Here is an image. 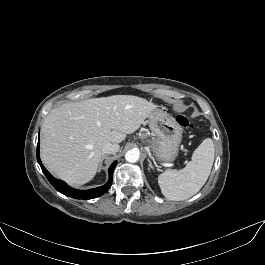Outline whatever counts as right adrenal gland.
I'll return each mask as SVG.
<instances>
[{
	"label": "right adrenal gland",
	"instance_id": "obj_1",
	"mask_svg": "<svg viewBox=\"0 0 265 265\" xmlns=\"http://www.w3.org/2000/svg\"><path fill=\"white\" fill-rule=\"evenodd\" d=\"M106 158V155H103L102 157H101V160H100V163H99V167H98V171H100L101 170V168H102V164H103V160Z\"/></svg>",
	"mask_w": 265,
	"mask_h": 265
}]
</instances>
